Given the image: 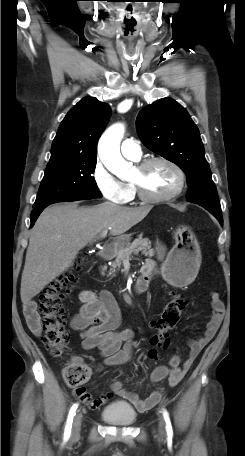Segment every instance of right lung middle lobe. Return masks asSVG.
<instances>
[{
	"mask_svg": "<svg viewBox=\"0 0 245 456\" xmlns=\"http://www.w3.org/2000/svg\"><path fill=\"white\" fill-rule=\"evenodd\" d=\"M97 157H77L48 163L34 208L71 199L101 198L92 174Z\"/></svg>",
	"mask_w": 245,
	"mask_h": 456,
	"instance_id": "right-lung-middle-lobe-1",
	"label": "right lung middle lobe"
}]
</instances>
